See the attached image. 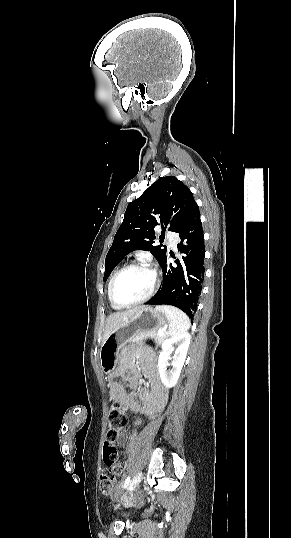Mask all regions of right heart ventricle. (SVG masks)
Instances as JSON below:
<instances>
[{"mask_svg": "<svg viewBox=\"0 0 291 538\" xmlns=\"http://www.w3.org/2000/svg\"><path fill=\"white\" fill-rule=\"evenodd\" d=\"M120 269H121V268L117 269V270L114 272V274L112 275L111 279L113 278V276H114ZM111 279H110V281H109V283H108V297H109V287H110ZM110 303H111V301H110ZM111 305H112L113 307H115L112 303H111ZM115 308H117V307H115Z\"/></svg>", "mask_w": 291, "mask_h": 538, "instance_id": "1", "label": "right heart ventricle"}]
</instances>
